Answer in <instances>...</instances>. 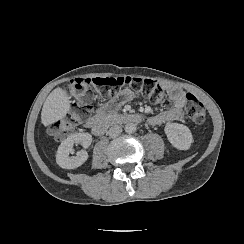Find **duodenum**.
<instances>
[{"label":"duodenum","mask_w":244,"mask_h":244,"mask_svg":"<svg viewBox=\"0 0 244 244\" xmlns=\"http://www.w3.org/2000/svg\"><path fill=\"white\" fill-rule=\"evenodd\" d=\"M143 121V116L139 113H129V114H109L103 117L99 122L92 125V133L97 136H103L106 132L118 124L123 123H140Z\"/></svg>","instance_id":"obj_1"}]
</instances>
